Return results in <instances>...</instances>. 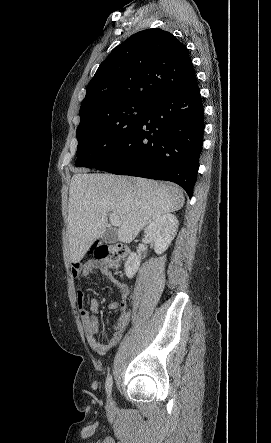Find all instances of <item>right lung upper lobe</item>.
<instances>
[{
    "mask_svg": "<svg viewBox=\"0 0 271 443\" xmlns=\"http://www.w3.org/2000/svg\"><path fill=\"white\" fill-rule=\"evenodd\" d=\"M195 81L185 45L161 29L140 31L100 64L81 103V121L124 102L150 103Z\"/></svg>",
    "mask_w": 271,
    "mask_h": 443,
    "instance_id": "cb5924a9",
    "label": "right lung upper lobe"
}]
</instances>
